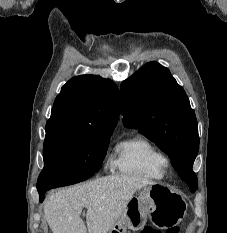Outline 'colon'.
I'll list each match as a JSON object with an SVG mask.
<instances>
[{"mask_svg":"<svg viewBox=\"0 0 227 233\" xmlns=\"http://www.w3.org/2000/svg\"><path fill=\"white\" fill-rule=\"evenodd\" d=\"M140 233H163V232L153 226H146L140 231ZM165 233H179V229L176 227L171 228L167 230Z\"/></svg>","mask_w":227,"mask_h":233,"instance_id":"1","label":"colon"}]
</instances>
